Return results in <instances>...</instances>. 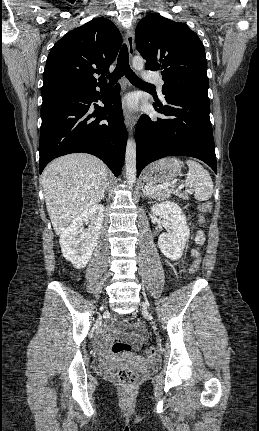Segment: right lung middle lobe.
I'll use <instances>...</instances> for the list:
<instances>
[{
    "mask_svg": "<svg viewBox=\"0 0 259 431\" xmlns=\"http://www.w3.org/2000/svg\"><path fill=\"white\" fill-rule=\"evenodd\" d=\"M69 89H72V88H68V87H53V88H48V89L42 90V97L51 95V94L59 92V91L69 90Z\"/></svg>",
    "mask_w": 259,
    "mask_h": 431,
    "instance_id": "1",
    "label": "right lung middle lobe"
}]
</instances>
